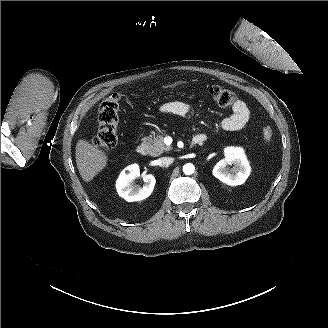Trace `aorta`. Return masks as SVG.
<instances>
[{
    "label": "aorta",
    "mask_w": 328,
    "mask_h": 328,
    "mask_svg": "<svg viewBox=\"0 0 328 328\" xmlns=\"http://www.w3.org/2000/svg\"><path fill=\"white\" fill-rule=\"evenodd\" d=\"M195 171V167L192 163H187L183 166V172L186 175H191Z\"/></svg>",
    "instance_id": "1"
}]
</instances>
